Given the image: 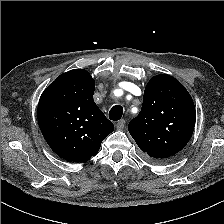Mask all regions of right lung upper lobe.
Wrapping results in <instances>:
<instances>
[{
  "mask_svg": "<svg viewBox=\"0 0 224 224\" xmlns=\"http://www.w3.org/2000/svg\"><path fill=\"white\" fill-rule=\"evenodd\" d=\"M95 81L84 69L61 74L42 93L37 110L40 130L61 158L83 162L96 155L113 130L93 100Z\"/></svg>",
  "mask_w": 224,
  "mask_h": 224,
  "instance_id": "cb5924a9",
  "label": "right lung upper lobe"
}]
</instances>
